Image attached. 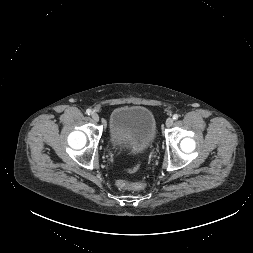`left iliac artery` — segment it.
I'll return each mask as SVG.
<instances>
[{
    "label": "left iliac artery",
    "mask_w": 253,
    "mask_h": 253,
    "mask_svg": "<svg viewBox=\"0 0 253 253\" xmlns=\"http://www.w3.org/2000/svg\"><path fill=\"white\" fill-rule=\"evenodd\" d=\"M179 118V115L178 114H174L173 115V120H177Z\"/></svg>",
    "instance_id": "left-iliac-artery-1"
}]
</instances>
